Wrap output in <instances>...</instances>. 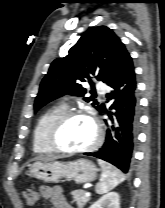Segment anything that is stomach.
Returning <instances> with one entry per match:
<instances>
[{
	"instance_id": "obj_1",
	"label": "stomach",
	"mask_w": 165,
	"mask_h": 208,
	"mask_svg": "<svg viewBox=\"0 0 165 208\" xmlns=\"http://www.w3.org/2000/svg\"><path fill=\"white\" fill-rule=\"evenodd\" d=\"M29 176L48 183H58L65 178L84 184L96 180L97 168L87 159L70 162L37 161L29 167Z\"/></svg>"
}]
</instances>
